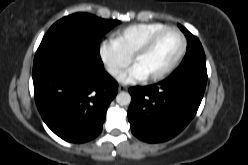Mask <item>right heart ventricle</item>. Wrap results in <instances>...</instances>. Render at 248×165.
<instances>
[{"label":"right heart ventricle","instance_id":"1","mask_svg":"<svg viewBox=\"0 0 248 165\" xmlns=\"http://www.w3.org/2000/svg\"><path fill=\"white\" fill-rule=\"evenodd\" d=\"M167 27L162 23H137L124 27L114 33V39L133 56L137 49L155 32Z\"/></svg>","mask_w":248,"mask_h":165}]
</instances>
